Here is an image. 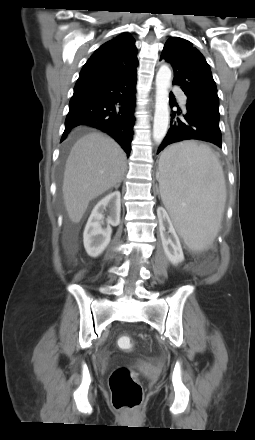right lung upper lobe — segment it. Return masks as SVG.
Here are the masks:
<instances>
[{"instance_id": "1", "label": "right lung upper lobe", "mask_w": 255, "mask_h": 440, "mask_svg": "<svg viewBox=\"0 0 255 440\" xmlns=\"http://www.w3.org/2000/svg\"><path fill=\"white\" fill-rule=\"evenodd\" d=\"M134 38L122 33L101 45L83 66L74 91L100 86L136 71Z\"/></svg>"}]
</instances>
